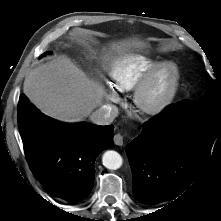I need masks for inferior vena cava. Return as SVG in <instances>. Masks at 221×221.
<instances>
[{
	"mask_svg": "<svg viewBox=\"0 0 221 221\" xmlns=\"http://www.w3.org/2000/svg\"><path fill=\"white\" fill-rule=\"evenodd\" d=\"M118 114V108L115 105H103L90 116L91 121L96 125H109Z\"/></svg>",
	"mask_w": 221,
	"mask_h": 221,
	"instance_id": "1",
	"label": "inferior vena cava"
}]
</instances>
